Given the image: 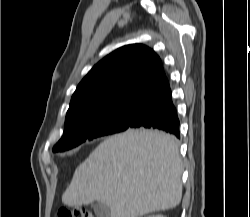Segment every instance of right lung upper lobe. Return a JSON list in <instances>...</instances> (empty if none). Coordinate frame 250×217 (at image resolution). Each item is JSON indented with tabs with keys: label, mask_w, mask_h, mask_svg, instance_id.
Instances as JSON below:
<instances>
[{
	"label": "right lung upper lobe",
	"mask_w": 250,
	"mask_h": 217,
	"mask_svg": "<svg viewBox=\"0 0 250 217\" xmlns=\"http://www.w3.org/2000/svg\"><path fill=\"white\" fill-rule=\"evenodd\" d=\"M167 83L153 50L141 44L123 46L98 62L80 82L65 121L117 104L140 102Z\"/></svg>",
	"instance_id": "right-lung-upper-lobe-1"
}]
</instances>
